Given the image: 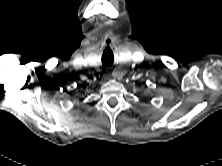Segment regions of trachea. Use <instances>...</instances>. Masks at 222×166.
I'll return each instance as SVG.
<instances>
[{
    "instance_id": "trachea-1",
    "label": "trachea",
    "mask_w": 222,
    "mask_h": 166,
    "mask_svg": "<svg viewBox=\"0 0 222 166\" xmlns=\"http://www.w3.org/2000/svg\"><path fill=\"white\" fill-rule=\"evenodd\" d=\"M114 62V56L111 50H105L102 56V64L103 66H112Z\"/></svg>"
}]
</instances>
